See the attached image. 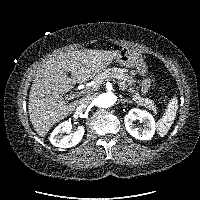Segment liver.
Returning <instances> with one entry per match:
<instances>
[{"label":"liver","mask_w":200,"mask_h":200,"mask_svg":"<svg viewBox=\"0 0 200 200\" xmlns=\"http://www.w3.org/2000/svg\"><path fill=\"white\" fill-rule=\"evenodd\" d=\"M120 51L73 50L47 59L35 73L28 112L35 132L44 137L51 127L71 114L80 100L66 104L63 94L101 73ZM71 72V78L67 74Z\"/></svg>","instance_id":"6515ba94"}]
</instances>
